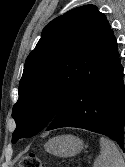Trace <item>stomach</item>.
<instances>
[{
	"instance_id": "1",
	"label": "stomach",
	"mask_w": 125,
	"mask_h": 167,
	"mask_svg": "<svg viewBox=\"0 0 125 167\" xmlns=\"http://www.w3.org/2000/svg\"><path fill=\"white\" fill-rule=\"evenodd\" d=\"M45 150L55 156L71 157L80 153L83 141L73 135H61L50 139L45 145Z\"/></svg>"
}]
</instances>
